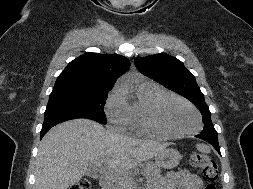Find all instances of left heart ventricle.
<instances>
[{"label":"left heart ventricle","instance_id":"1","mask_svg":"<svg viewBox=\"0 0 253 189\" xmlns=\"http://www.w3.org/2000/svg\"><path fill=\"white\" fill-rule=\"evenodd\" d=\"M159 117L166 127L176 132L190 131L197 126L195 113L185 104L171 98L162 102Z\"/></svg>","mask_w":253,"mask_h":189}]
</instances>
